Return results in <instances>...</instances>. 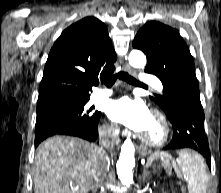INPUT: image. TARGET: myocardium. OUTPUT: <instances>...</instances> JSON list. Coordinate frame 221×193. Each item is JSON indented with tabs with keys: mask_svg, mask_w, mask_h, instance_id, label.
Instances as JSON below:
<instances>
[{
	"mask_svg": "<svg viewBox=\"0 0 221 193\" xmlns=\"http://www.w3.org/2000/svg\"><path fill=\"white\" fill-rule=\"evenodd\" d=\"M151 115L156 117L162 126V135L159 139L153 140L143 133L139 132L140 139L149 146L161 147L165 145L170 138V127L166 117L157 109L151 110Z\"/></svg>",
	"mask_w": 221,
	"mask_h": 193,
	"instance_id": "f54148a6",
	"label": "myocardium"
}]
</instances>
